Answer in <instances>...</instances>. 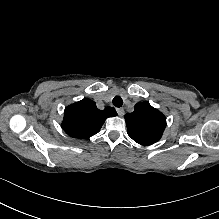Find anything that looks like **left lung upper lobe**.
Masks as SVG:
<instances>
[{
	"mask_svg": "<svg viewBox=\"0 0 219 219\" xmlns=\"http://www.w3.org/2000/svg\"><path fill=\"white\" fill-rule=\"evenodd\" d=\"M128 135L141 145L157 142L166 127L165 116L149 102L137 103L133 113L125 115Z\"/></svg>",
	"mask_w": 219,
	"mask_h": 219,
	"instance_id": "5c2ea615",
	"label": "left lung upper lobe"
}]
</instances>
